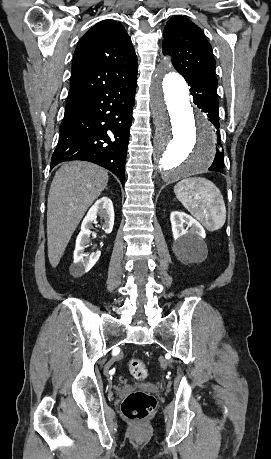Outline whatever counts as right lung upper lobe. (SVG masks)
<instances>
[{"label": "right lung upper lobe", "instance_id": "cb5924a9", "mask_svg": "<svg viewBox=\"0 0 271 459\" xmlns=\"http://www.w3.org/2000/svg\"><path fill=\"white\" fill-rule=\"evenodd\" d=\"M136 75L137 57L124 27L112 19L100 21L76 47L65 111Z\"/></svg>", "mask_w": 271, "mask_h": 459}]
</instances>
